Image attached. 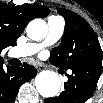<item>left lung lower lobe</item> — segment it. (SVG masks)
<instances>
[{
	"instance_id": "left-lung-lower-lobe-1",
	"label": "left lung lower lobe",
	"mask_w": 103,
	"mask_h": 103,
	"mask_svg": "<svg viewBox=\"0 0 103 103\" xmlns=\"http://www.w3.org/2000/svg\"><path fill=\"white\" fill-rule=\"evenodd\" d=\"M103 58L91 57L71 67V75L58 97L45 103H85L93 94L102 73Z\"/></svg>"
}]
</instances>
